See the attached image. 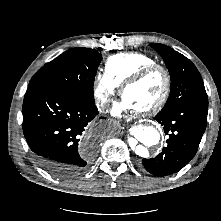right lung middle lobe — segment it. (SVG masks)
I'll return each mask as SVG.
<instances>
[{
  "label": "right lung middle lobe",
  "mask_w": 221,
  "mask_h": 221,
  "mask_svg": "<svg viewBox=\"0 0 221 221\" xmlns=\"http://www.w3.org/2000/svg\"><path fill=\"white\" fill-rule=\"evenodd\" d=\"M101 59L102 55L94 49H69L40 68L28 88L43 86L94 103V77Z\"/></svg>",
  "instance_id": "dd1d6c3e"
}]
</instances>
